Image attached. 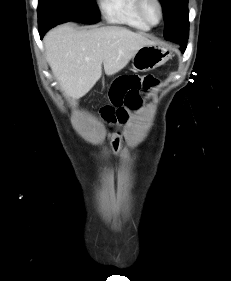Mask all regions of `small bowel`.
<instances>
[{
	"label": "small bowel",
	"instance_id": "obj_1",
	"mask_svg": "<svg viewBox=\"0 0 231 281\" xmlns=\"http://www.w3.org/2000/svg\"><path fill=\"white\" fill-rule=\"evenodd\" d=\"M160 81L152 74L139 75L125 73L117 76L109 88L110 103L100 110L102 118L108 122L126 123L132 111H138L146 92L156 88ZM118 147V141L113 142Z\"/></svg>",
	"mask_w": 231,
	"mask_h": 281
}]
</instances>
